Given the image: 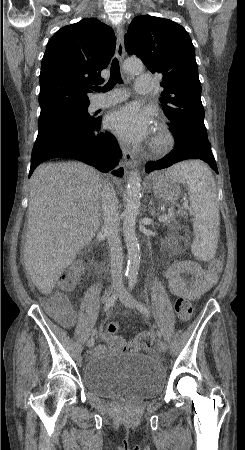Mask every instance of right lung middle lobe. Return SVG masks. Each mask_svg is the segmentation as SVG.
I'll return each instance as SVG.
<instances>
[{
    "instance_id": "1",
    "label": "right lung middle lobe",
    "mask_w": 245,
    "mask_h": 450,
    "mask_svg": "<svg viewBox=\"0 0 245 450\" xmlns=\"http://www.w3.org/2000/svg\"><path fill=\"white\" fill-rule=\"evenodd\" d=\"M89 104L56 106L41 110L38 123L36 147L60 136L67 130L83 128L93 120L88 112Z\"/></svg>"
}]
</instances>
